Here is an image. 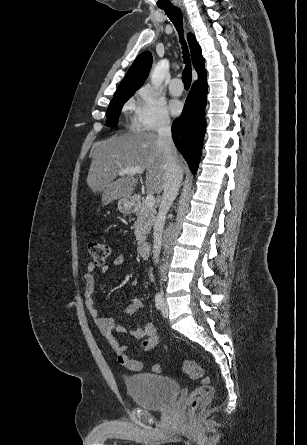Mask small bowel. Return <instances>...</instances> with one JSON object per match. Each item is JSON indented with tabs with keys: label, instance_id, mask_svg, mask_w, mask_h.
Returning a JSON list of instances; mask_svg holds the SVG:
<instances>
[{
	"label": "small bowel",
	"instance_id": "obj_1",
	"mask_svg": "<svg viewBox=\"0 0 307 445\" xmlns=\"http://www.w3.org/2000/svg\"><path fill=\"white\" fill-rule=\"evenodd\" d=\"M125 263V256L120 254L114 258L112 266L121 267L125 265ZM95 268L96 264L89 263L84 275L86 308L92 316L97 329L106 338L110 346L117 353L119 363L130 370L139 371L142 368V363L139 360L130 357V355L128 354V347L126 345L120 344V342L116 339L114 333L125 334L129 332L135 340L141 341V349L143 352L152 354L160 341L159 336L156 332V328L153 323L146 322L142 326L129 331L126 326L117 325L113 318L101 315L95 306L93 297L96 288V280L94 276ZM110 271L111 266L109 265H106L101 269L102 273H109ZM142 308V300L140 298H133L127 306L125 314L131 316L140 311Z\"/></svg>",
	"mask_w": 307,
	"mask_h": 445
}]
</instances>
